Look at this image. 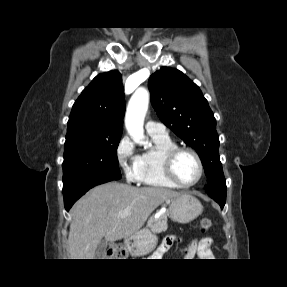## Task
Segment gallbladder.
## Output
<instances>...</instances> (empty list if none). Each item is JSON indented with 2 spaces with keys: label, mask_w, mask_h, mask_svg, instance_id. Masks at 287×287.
I'll return each instance as SVG.
<instances>
[{
  "label": "gallbladder",
  "mask_w": 287,
  "mask_h": 287,
  "mask_svg": "<svg viewBox=\"0 0 287 287\" xmlns=\"http://www.w3.org/2000/svg\"><path fill=\"white\" fill-rule=\"evenodd\" d=\"M107 240L103 239L98 244L96 250H95V258L96 259H102L105 256L106 248H107Z\"/></svg>",
  "instance_id": "bac80fb5"
}]
</instances>
